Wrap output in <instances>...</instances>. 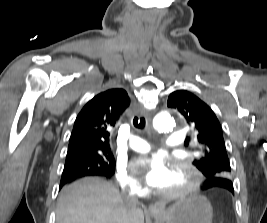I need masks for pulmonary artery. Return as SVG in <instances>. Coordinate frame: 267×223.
Returning <instances> with one entry per match:
<instances>
[{
    "mask_svg": "<svg viewBox=\"0 0 267 223\" xmlns=\"http://www.w3.org/2000/svg\"><path fill=\"white\" fill-rule=\"evenodd\" d=\"M184 141V136L181 134H170L167 137L166 145L169 147H178L182 145ZM129 146L132 150L136 152H148L151 145L145 139L132 135L129 140Z\"/></svg>",
    "mask_w": 267,
    "mask_h": 223,
    "instance_id": "e3ab8cb5",
    "label": "pulmonary artery"
}]
</instances>
